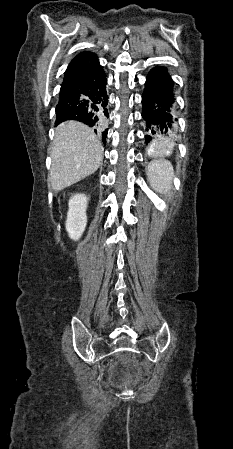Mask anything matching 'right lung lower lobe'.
<instances>
[{
  "label": "right lung lower lobe",
  "mask_w": 233,
  "mask_h": 449,
  "mask_svg": "<svg viewBox=\"0 0 233 449\" xmlns=\"http://www.w3.org/2000/svg\"><path fill=\"white\" fill-rule=\"evenodd\" d=\"M106 85V74L99 62L79 78L62 83L55 124L67 120L83 122L92 127L105 144V123L109 116Z\"/></svg>",
  "instance_id": "98d812e1"
}]
</instances>
